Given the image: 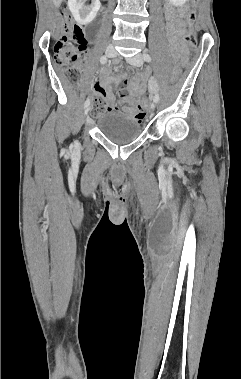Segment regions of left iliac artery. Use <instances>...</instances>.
I'll list each match as a JSON object with an SVG mask.
<instances>
[{
    "label": "left iliac artery",
    "mask_w": 241,
    "mask_h": 379,
    "mask_svg": "<svg viewBox=\"0 0 241 379\" xmlns=\"http://www.w3.org/2000/svg\"><path fill=\"white\" fill-rule=\"evenodd\" d=\"M143 59L146 61V62H150L151 61V56L148 54V53H143ZM160 99L159 95L158 94H155L154 96V101L155 102H158Z\"/></svg>",
    "instance_id": "obj_1"
}]
</instances>
